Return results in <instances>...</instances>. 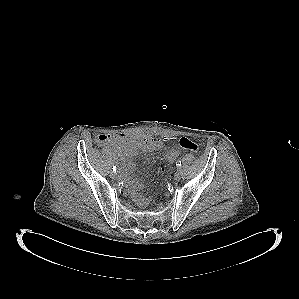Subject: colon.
Returning a JSON list of instances; mask_svg holds the SVG:
<instances>
[{
	"label": "colon",
	"instance_id": "obj_1",
	"mask_svg": "<svg viewBox=\"0 0 299 299\" xmlns=\"http://www.w3.org/2000/svg\"><path fill=\"white\" fill-rule=\"evenodd\" d=\"M103 139H106V137H103ZM179 145H180L181 148H183L185 150H188L190 152H193V153H197L198 149H199L198 144L195 141H193L192 139L188 138V137H182L179 140ZM142 202L147 203L148 200L147 199H142Z\"/></svg>",
	"mask_w": 299,
	"mask_h": 299
}]
</instances>
